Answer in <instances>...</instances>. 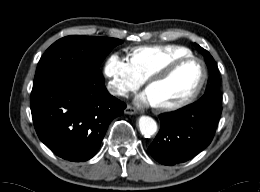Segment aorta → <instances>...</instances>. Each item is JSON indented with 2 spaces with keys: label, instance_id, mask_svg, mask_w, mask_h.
<instances>
[{
  "label": "aorta",
  "instance_id": "obj_1",
  "mask_svg": "<svg viewBox=\"0 0 260 192\" xmlns=\"http://www.w3.org/2000/svg\"><path fill=\"white\" fill-rule=\"evenodd\" d=\"M139 128L141 133L145 137H150L154 135L157 131V124L153 118L150 116H141L139 118Z\"/></svg>",
  "mask_w": 260,
  "mask_h": 192
}]
</instances>
